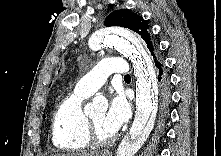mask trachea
I'll return each instance as SVG.
<instances>
[{"label": "trachea", "instance_id": "obj_1", "mask_svg": "<svg viewBox=\"0 0 221 156\" xmlns=\"http://www.w3.org/2000/svg\"><path fill=\"white\" fill-rule=\"evenodd\" d=\"M124 78H130V75H125Z\"/></svg>", "mask_w": 221, "mask_h": 156}]
</instances>
